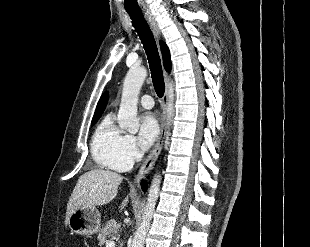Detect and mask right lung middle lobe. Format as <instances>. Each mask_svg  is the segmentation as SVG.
I'll return each instance as SVG.
<instances>
[{
    "label": "right lung middle lobe",
    "mask_w": 310,
    "mask_h": 247,
    "mask_svg": "<svg viewBox=\"0 0 310 247\" xmlns=\"http://www.w3.org/2000/svg\"><path fill=\"white\" fill-rule=\"evenodd\" d=\"M99 118H100V116L94 117V118L92 119L91 126H93V125L97 122V120H98Z\"/></svg>",
    "instance_id": "right-lung-middle-lobe-1"
}]
</instances>
